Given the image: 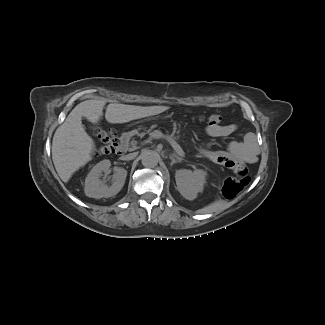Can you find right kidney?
Instances as JSON below:
<instances>
[{
	"label": "right kidney",
	"instance_id": "obj_1",
	"mask_svg": "<svg viewBox=\"0 0 325 325\" xmlns=\"http://www.w3.org/2000/svg\"><path fill=\"white\" fill-rule=\"evenodd\" d=\"M111 166L109 160H103L97 163L89 172L85 179L84 192L86 196L100 199L109 198L116 195L123 188L127 171L123 168H118L112 179L111 186L105 185L100 179L102 172H108Z\"/></svg>",
	"mask_w": 325,
	"mask_h": 325
}]
</instances>
